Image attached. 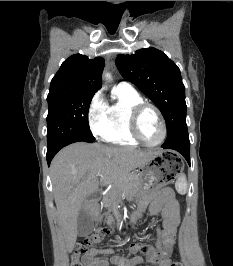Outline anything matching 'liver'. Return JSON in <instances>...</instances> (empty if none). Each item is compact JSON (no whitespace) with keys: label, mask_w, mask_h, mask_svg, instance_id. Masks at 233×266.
<instances>
[{"label":"liver","mask_w":233,"mask_h":266,"mask_svg":"<svg viewBox=\"0 0 233 266\" xmlns=\"http://www.w3.org/2000/svg\"><path fill=\"white\" fill-rule=\"evenodd\" d=\"M158 152L131 147L78 142L57 153L51 162V180L58 224L71 252L77 239V218L86 198L102 185L118 184ZM100 173V182L97 174Z\"/></svg>","instance_id":"obj_1"}]
</instances>
